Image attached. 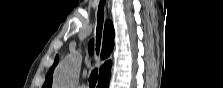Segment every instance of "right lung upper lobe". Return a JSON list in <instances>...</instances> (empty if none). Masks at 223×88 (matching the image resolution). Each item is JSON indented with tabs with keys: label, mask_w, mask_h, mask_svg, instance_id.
Listing matches in <instances>:
<instances>
[{
	"label": "right lung upper lobe",
	"mask_w": 223,
	"mask_h": 88,
	"mask_svg": "<svg viewBox=\"0 0 223 88\" xmlns=\"http://www.w3.org/2000/svg\"><path fill=\"white\" fill-rule=\"evenodd\" d=\"M114 47V28L113 24L111 21H107L105 24V29H104V37H103V46H102V51H101V58L105 59L109 56L110 52L112 51ZM93 45L91 42L89 50L92 51ZM58 56L55 58V62L53 66L50 68L46 79L45 83L43 85V88H51L52 85V74L54 71V68L56 64L58 63ZM110 68H111V61L106 62L101 68H100V73H99V80L102 79H107L110 77Z\"/></svg>",
	"instance_id": "1"
}]
</instances>
